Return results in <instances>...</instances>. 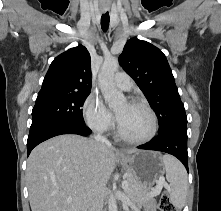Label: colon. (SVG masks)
Masks as SVG:
<instances>
[{"label": "colon", "mask_w": 221, "mask_h": 211, "mask_svg": "<svg viewBox=\"0 0 221 211\" xmlns=\"http://www.w3.org/2000/svg\"><path fill=\"white\" fill-rule=\"evenodd\" d=\"M159 209L160 211H177L167 192L162 194Z\"/></svg>", "instance_id": "obj_1"}]
</instances>
